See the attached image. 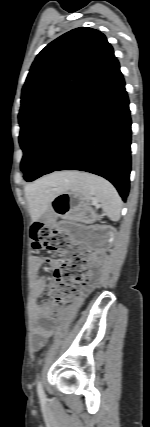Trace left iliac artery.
Masks as SVG:
<instances>
[{
	"label": "left iliac artery",
	"mask_w": 150,
	"mask_h": 427,
	"mask_svg": "<svg viewBox=\"0 0 150 427\" xmlns=\"http://www.w3.org/2000/svg\"><path fill=\"white\" fill-rule=\"evenodd\" d=\"M37 392H38L39 398L41 400H44L45 399V393H44V390H43V385H42L41 380H39L37 382Z\"/></svg>",
	"instance_id": "left-iliac-artery-1"
}]
</instances>
